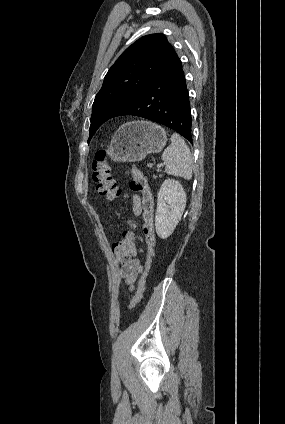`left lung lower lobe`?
<instances>
[{"label":"left lung lower lobe","instance_id":"0a47b994","mask_svg":"<svg viewBox=\"0 0 285 424\" xmlns=\"http://www.w3.org/2000/svg\"><path fill=\"white\" fill-rule=\"evenodd\" d=\"M125 115L163 124L192 143L189 94L175 51L159 76L111 118Z\"/></svg>","mask_w":285,"mask_h":424}]
</instances>
